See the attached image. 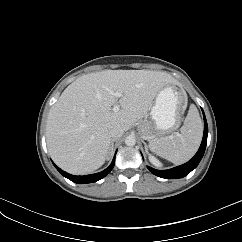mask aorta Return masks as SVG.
<instances>
[{"label": "aorta", "mask_w": 242, "mask_h": 242, "mask_svg": "<svg viewBox=\"0 0 242 242\" xmlns=\"http://www.w3.org/2000/svg\"><path fill=\"white\" fill-rule=\"evenodd\" d=\"M125 144L127 146H134L136 144V139L134 136H128L125 139Z\"/></svg>", "instance_id": "1"}]
</instances>
